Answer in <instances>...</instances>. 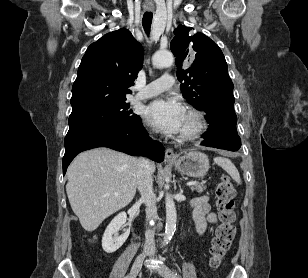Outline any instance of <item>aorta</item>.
<instances>
[{
  "label": "aorta",
  "mask_w": 308,
  "mask_h": 278,
  "mask_svg": "<svg viewBox=\"0 0 308 278\" xmlns=\"http://www.w3.org/2000/svg\"><path fill=\"white\" fill-rule=\"evenodd\" d=\"M173 61H174L173 55L169 51H157L152 58V63L156 68H163L170 66L173 63ZM165 205H166V227L164 233V243H168V241L171 240L176 229L177 213H176L175 203L170 196H166Z\"/></svg>",
  "instance_id": "aorta-1"
}]
</instances>
